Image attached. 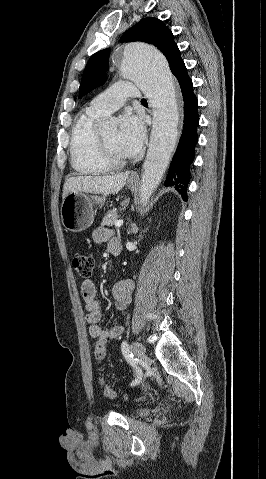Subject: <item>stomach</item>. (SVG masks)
<instances>
[{
  "label": "stomach",
  "instance_id": "stomach-1",
  "mask_svg": "<svg viewBox=\"0 0 266 479\" xmlns=\"http://www.w3.org/2000/svg\"><path fill=\"white\" fill-rule=\"evenodd\" d=\"M130 189H135L137 182L128 180ZM105 196L88 195L86 193H69L62 201L61 219L66 230L82 232L89 228L94 220V206L104 205Z\"/></svg>",
  "mask_w": 266,
  "mask_h": 479
}]
</instances>
